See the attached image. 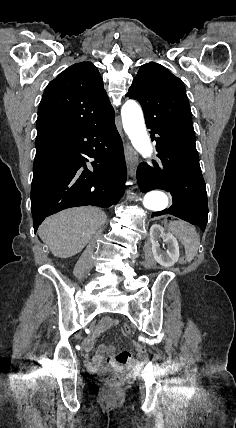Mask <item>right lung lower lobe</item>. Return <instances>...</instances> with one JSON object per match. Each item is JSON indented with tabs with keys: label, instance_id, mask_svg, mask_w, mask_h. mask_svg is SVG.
Listing matches in <instances>:
<instances>
[{
	"label": "right lung lower lobe",
	"instance_id": "obj_1",
	"mask_svg": "<svg viewBox=\"0 0 236 428\" xmlns=\"http://www.w3.org/2000/svg\"><path fill=\"white\" fill-rule=\"evenodd\" d=\"M94 158L92 168L85 164ZM126 165L114 114L95 124L36 142L31 186L34 231L63 209L116 205L125 190Z\"/></svg>",
	"mask_w": 236,
	"mask_h": 428
}]
</instances>
